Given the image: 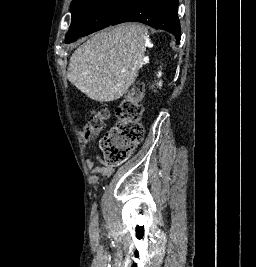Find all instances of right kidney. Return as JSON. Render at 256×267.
I'll use <instances>...</instances> for the list:
<instances>
[{"label": "right kidney", "mask_w": 256, "mask_h": 267, "mask_svg": "<svg viewBox=\"0 0 256 267\" xmlns=\"http://www.w3.org/2000/svg\"><path fill=\"white\" fill-rule=\"evenodd\" d=\"M161 72H158V78H160ZM158 86H162V84H158Z\"/></svg>", "instance_id": "right-kidney-1"}]
</instances>
